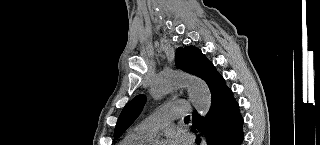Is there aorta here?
I'll use <instances>...</instances> for the list:
<instances>
[{
    "label": "aorta",
    "mask_w": 320,
    "mask_h": 145,
    "mask_svg": "<svg viewBox=\"0 0 320 145\" xmlns=\"http://www.w3.org/2000/svg\"><path fill=\"white\" fill-rule=\"evenodd\" d=\"M182 86H186L194 108L205 117L211 106V93L207 84L198 77L190 76L178 71H164L157 74L151 83V95L155 99L162 98ZM202 144L206 139L202 137Z\"/></svg>",
    "instance_id": "aorta-1"
}]
</instances>
